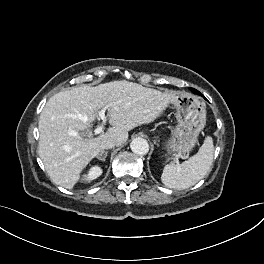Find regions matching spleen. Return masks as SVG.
<instances>
[{
  "mask_svg": "<svg viewBox=\"0 0 264 264\" xmlns=\"http://www.w3.org/2000/svg\"><path fill=\"white\" fill-rule=\"evenodd\" d=\"M214 145L211 137H206L198 153L189 160L165 166L161 175L162 183L173 189H186L200 181L211 169Z\"/></svg>",
  "mask_w": 264,
  "mask_h": 264,
  "instance_id": "3e777b00",
  "label": "spleen"
}]
</instances>
